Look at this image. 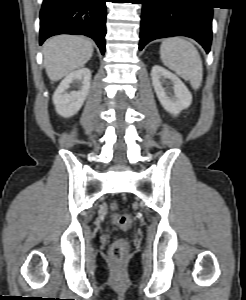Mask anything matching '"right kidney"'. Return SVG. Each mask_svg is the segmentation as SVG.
<instances>
[{"mask_svg": "<svg viewBox=\"0 0 246 300\" xmlns=\"http://www.w3.org/2000/svg\"><path fill=\"white\" fill-rule=\"evenodd\" d=\"M91 71L80 68L69 73L59 84L53 95L56 112L63 117L75 115L82 107L90 89ZM78 87V91L67 93L70 85Z\"/></svg>", "mask_w": 246, "mask_h": 300, "instance_id": "obj_1", "label": "right kidney"}]
</instances>
